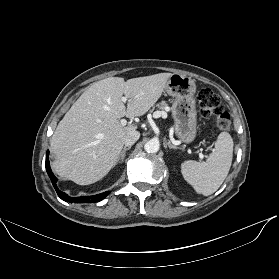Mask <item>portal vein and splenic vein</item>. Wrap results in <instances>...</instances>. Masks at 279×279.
Masks as SVG:
<instances>
[{"mask_svg":"<svg viewBox=\"0 0 279 279\" xmlns=\"http://www.w3.org/2000/svg\"><path fill=\"white\" fill-rule=\"evenodd\" d=\"M126 100H127V97H122V101L125 103L126 102ZM163 114H166L165 112L163 113V112H159V111H157V112H155L154 113V118H159V117H161V115H163ZM120 123H121V125L122 126H125L126 124H127V120H125V119H121L120 120ZM199 157H200V159H203L204 158V155L202 154V153H200L199 154Z\"/></svg>","mask_w":279,"mask_h":279,"instance_id":"18ae733b","label":"portal vein and splenic vein"}]
</instances>
